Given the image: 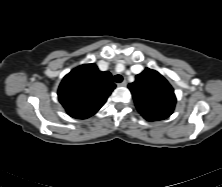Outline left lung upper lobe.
<instances>
[{
  "mask_svg": "<svg viewBox=\"0 0 222 187\" xmlns=\"http://www.w3.org/2000/svg\"><path fill=\"white\" fill-rule=\"evenodd\" d=\"M140 114L169 117L175 108L172 86L157 71L146 68L128 85Z\"/></svg>",
  "mask_w": 222,
  "mask_h": 187,
  "instance_id": "obj_1",
  "label": "left lung upper lobe"
}]
</instances>
